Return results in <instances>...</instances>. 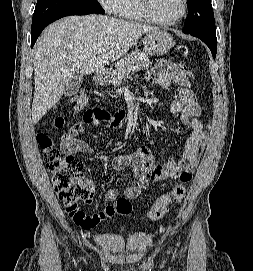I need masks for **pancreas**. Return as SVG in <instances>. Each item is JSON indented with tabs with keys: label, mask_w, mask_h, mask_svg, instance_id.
<instances>
[{
	"label": "pancreas",
	"mask_w": 253,
	"mask_h": 271,
	"mask_svg": "<svg viewBox=\"0 0 253 271\" xmlns=\"http://www.w3.org/2000/svg\"><path fill=\"white\" fill-rule=\"evenodd\" d=\"M151 64L147 54L139 50L132 51L115 65V70L111 74V83L114 86H119L122 80L128 77L133 67L135 69H147Z\"/></svg>",
	"instance_id": "cf45deb5"
}]
</instances>
